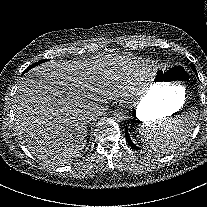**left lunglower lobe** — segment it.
<instances>
[{"label":"left lung lower lobe","instance_id":"1","mask_svg":"<svg viewBox=\"0 0 207 207\" xmlns=\"http://www.w3.org/2000/svg\"><path fill=\"white\" fill-rule=\"evenodd\" d=\"M193 69H194V71L196 72V69H195V67L193 66ZM125 136H126V140H127V143L133 148V149H139L133 142H132V140L130 139V136H129V134H128V130L127 129H125Z\"/></svg>","mask_w":207,"mask_h":207}]
</instances>
